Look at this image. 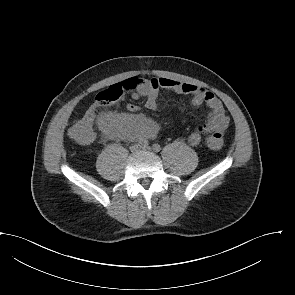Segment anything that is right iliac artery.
<instances>
[{
    "label": "right iliac artery",
    "instance_id": "1",
    "mask_svg": "<svg viewBox=\"0 0 295 295\" xmlns=\"http://www.w3.org/2000/svg\"><path fill=\"white\" fill-rule=\"evenodd\" d=\"M140 144L142 145V146H148V141L147 140H142V141H140Z\"/></svg>",
    "mask_w": 295,
    "mask_h": 295
}]
</instances>
